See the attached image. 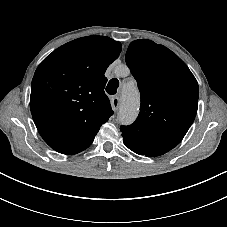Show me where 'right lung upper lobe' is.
Instances as JSON below:
<instances>
[{"mask_svg": "<svg viewBox=\"0 0 227 227\" xmlns=\"http://www.w3.org/2000/svg\"><path fill=\"white\" fill-rule=\"evenodd\" d=\"M120 52L118 41L91 35L64 44L40 63L31 84L30 108L51 148L76 154L91 145L113 114L104 73Z\"/></svg>", "mask_w": 227, "mask_h": 227, "instance_id": "obj_1", "label": "right lung upper lobe"}]
</instances>
